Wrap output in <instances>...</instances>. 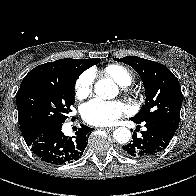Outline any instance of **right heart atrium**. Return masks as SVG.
Listing matches in <instances>:
<instances>
[{
  "label": "right heart atrium",
  "instance_id": "d8ad5b80",
  "mask_svg": "<svg viewBox=\"0 0 196 196\" xmlns=\"http://www.w3.org/2000/svg\"><path fill=\"white\" fill-rule=\"evenodd\" d=\"M94 73L90 70L82 73L75 83V95L78 99H84L92 93Z\"/></svg>",
  "mask_w": 196,
  "mask_h": 196
}]
</instances>
